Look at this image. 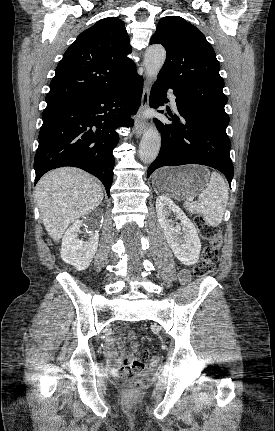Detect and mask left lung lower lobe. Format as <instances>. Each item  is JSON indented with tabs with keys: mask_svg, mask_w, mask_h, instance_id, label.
Returning a JSON list of instances; mask_svg holds the SVG:
<instances>
[{
	"mask_svg": "<svg viewBox=\"0 0 275 431\" xmlns=\"http://www.w3.org/2000/svg\"><path fill=\"white\" fill-rule=\"evenodd\" d=\"M168 88L171 86L166 80L157 79L150 94L151 107L164 104ZM176 104L178 115H173L171 111L166 113L171 124L156 121L162 143L158 157L148 168L147 176L163 166L201 164L221 171L231 186L234 168L229 154L231 143L226 133L229 122L207 116L178 98Z\"/></svg>",
	"mask_w": 275,
	"mask_h": 431,
	"instance_id": "0a47b994",
	"label": "left lung lower lobe"
}]
</instances>
